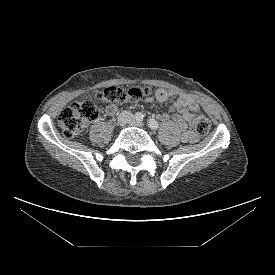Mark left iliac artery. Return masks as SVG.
Returning <instances> with one entry per match:
<instances>
[{
    "instance_id": "1",
    "label": "left iliac artery",
    "mask_w": 275,
    "mask_h": 275,
    "mask_svg": "<svg viewBox=\"0 0 275 275\" xmlns=\"http://www.w3.org/2000/svg\"><path fill=\"white\" fill-rule=\"evenodd\" d=\"M148 125L153 130H157L158 127H159L158 122L155 119H153V118L148 120Z\"/></svg>"
}]
</instances>
